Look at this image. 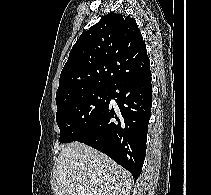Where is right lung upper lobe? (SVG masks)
<instances>
[{
	"label": "right lung upper lobe",
	"instance_id": "cb5924a9",
	"mask_svg": "<svg viewBox=\"0 0 211 195\" xmlns=\"http://www.w3.org/2000/svg\"><path fill=\"white\" fill-rule=\"evenodd\" d=\"M149 67L136 21L120 13L107 14L72 47L60 75L56 104L87 91L111 89L122 78Z\"/></svg>",
	"mask_w": 211,
	"mask_h": 195
}]
</instances>
